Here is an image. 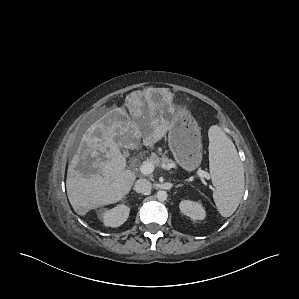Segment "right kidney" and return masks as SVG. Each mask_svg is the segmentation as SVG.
<instances>
[{
    "label": "right kidney",
    "mask_w": 299,
    "mask_h": 299,
    "mask_svg": "<svg viewBox=\"0 0 299 299\" xmlns=\"http://www.w3.org/2000/svg\"><path fill=\"white\" fill-rule=\"evenodd\" d=\"M130 208L125 204H118L112 209H105L101 213V219L105 226L118 227L128 218Z\"/></svg>",
    "instance_id": "right-kidney-1"
}]
</instances>
